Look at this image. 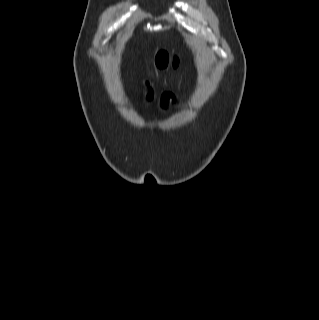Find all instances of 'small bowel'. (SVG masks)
<instances>
[{
    "label": "small bowel",
    "instance_id": "small-bowel-1",
    "mask_svg": "<svg viewBox=\"0 0 319 320\" xmlns=\"http://www.w3.org/2000/svg\"><path fill=\"white\" fill-rule=\"evenodd\" d=\"M147 86L150 87L149 84H147ZM153 98H154V95L152 93H149L147 95V99L148 100L151 101ZM170 101H171V95L170 94L166 93V94L162 95V97H161L162 106H167L170 103Z\"/></svg>",
    "mask_w": 319,
    "mask_h": 320
}]
</instances>
